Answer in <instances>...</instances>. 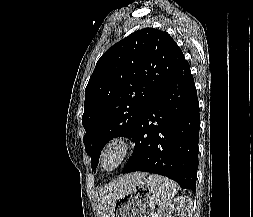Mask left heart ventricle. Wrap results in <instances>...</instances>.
I'll return each instance as SVG.
<instances>
[{
  "instance_id": "b2bd125f",
  "label": "left heart ventricle",
  "mask_w": 253,
  "mask_h": 217,
  "mask_svg": "<svg viewBox=\"0 0 253 217\" xmlns=\"http://www.w3.org/2000/svg\"><path fill=\"white\" fill-rule=\"evenodd\" d=\"M111 163V160L108 161V165Z\"/></svg>"
}]
</instances>
